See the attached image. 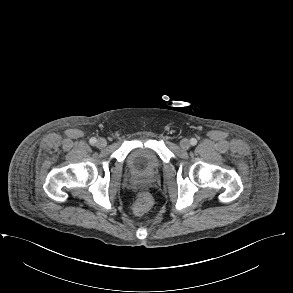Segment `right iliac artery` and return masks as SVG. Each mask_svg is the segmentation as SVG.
Segmentation results:
<instances>
[{
    "instance_id": "1",
    "label": "right iliac artery",
    "mask_w": 293,
    "mask_h": 293,
    "mask_svg": "<svg viewBox=\"0 0 293 293\" xmlns=\"http://www.w3.org/2000/svg\"><path fill=\"white\" fill-rule=\"evenodd\" d=\"M89 142L90 144L94 145L97 142V140L96 138H91Z\"/></svg>"
}]
</instances>
